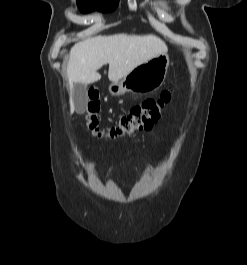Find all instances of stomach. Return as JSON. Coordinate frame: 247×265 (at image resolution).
Here are the masks:
<instances>
[{
	"label": "stomach",
	"mask_w": 247,
	"mask_h": 265,
	"mask_svg": "<svg viewBox=\"0 0 247 265\" xmlns=\"http://www.w3.org/2000/svg\"><path fill=\"white\" fill-rule=\"evenodd\" d=\"M170 65L169 55L158 54L152 59L137 66L128 75L109 86L113 96L124 95L127 92L148 93L155 91L164 83Z\"/></svg>",
	"instance_id": "obj_1"
}]
</instances>
